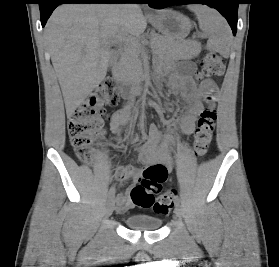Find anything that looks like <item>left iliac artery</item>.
<instances>
[{
  "label": "left iliac artery",
  "mask_w": 279,
  "mask_h": 267,
  "mask_svg": "<svg viewBox=\"0 0 279 267\" xmlns=\"http://www.w3.org/2000/svg\"><path fill=\"white\" fill-rule=\"evenodd\" d=\"M179 202H180V200H179L178 196H176V197H175V203H176V204H179Z\"/></svg>",
  "instance_id": "left-iliac-artery-1"
}]
</instances>
